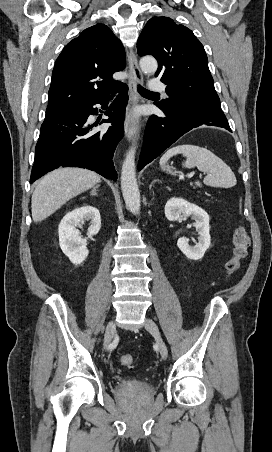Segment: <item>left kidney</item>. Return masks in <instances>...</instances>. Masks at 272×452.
Returning <instances> with one entry per match:
<instances>
[{"label": "left kidney", "mask_w": 272, "mask_h": 452, "mask_svg": "<svg viewBox=\"0 0 272 452\" xmlns=\"http://www.w3.org/2000/svg\"><path fill=\"white\" fill-rule=\"evenodd\" d=\"M182 215L191 216L195 220L194 227L199 237L195 246L189 245L184 237L178 239L177 246L188 259L200 260L211 244L209 215L204 209L185 199L177 197L169 199L165 205L166 218L169 221H176Z\"/></svg>", "instance_id": "5707ae66"}]
</instances>
